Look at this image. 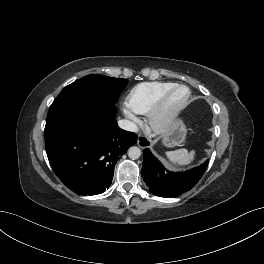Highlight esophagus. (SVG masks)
Returning <instances> with one entry per match:
<instances>
[{
	"mask_svg": "<svg viewBox=\"0 0 264 264\" xmlns=\"http://www.w3.org/2000/svg\"><path fill=\"white\" fill-rule=\"evenodd\" d=\"M137 144L140 148H147L150 146V141L143 135H139L137 139Z\"/></svg>",
	"mask_w": 264,
	"mask_h": 264,
	"instance_id": "34e87169",
	"label": "esophagus"
}]
</instances>
